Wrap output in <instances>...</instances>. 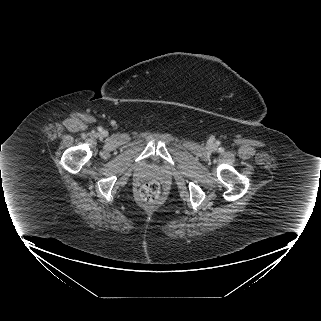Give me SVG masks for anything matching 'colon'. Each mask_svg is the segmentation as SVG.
I'll use <instances>...</instances> for the list:
<instances>
[{"instance_id":"5ec220e1","label":"colon","mask_w":321,"mask_h":321,"mask_svg":"<svg viewBox=\"0 0 321 321\" xmlns=\"http://www.w3.org/2000/svg\"><path fill=\"white\" fill-rule=\"evenodd\" d=\"M139 193L143 201L154 203L159 199L160 186L156 181H149L141 186Z\"/></svg>"}]
</instances>
